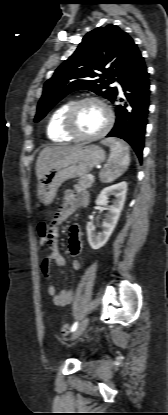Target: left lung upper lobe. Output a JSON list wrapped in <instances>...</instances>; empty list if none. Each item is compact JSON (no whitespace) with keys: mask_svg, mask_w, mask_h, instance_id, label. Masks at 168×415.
I'll return each mask as SVG.
<instances>
[{"mask_svg":"<svg viewBox=\"0 0 168 415\" xmlns=\"http://www.w3.org/2000/svg\"><path fill=\"white\" fill-rule=\"evenodd\" d=\"M139 54L133 39L116 25L88 32L76 51L44 84L35 122L73 91L90 90L112 101L117 88L109 87V83L116 80L120 83Z\"/></svg>","mask_w":168,"mask_h":415,"instance_id":"1","label":"left lung upper lobe"}]
</instances>
